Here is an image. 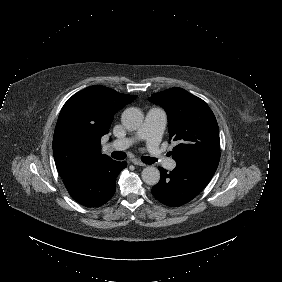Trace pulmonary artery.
I'll return each instance as SVG.
<instances>
[{
    "label": "pulmonary artery",
    "instance_id": "obj_1",
    "mask_svg": "<svg viewBox=\"0 0 282 282\" xmlns=\"http://www.w3.org/2000/svg\"><path fill=\"white\" fill-rule=\"evenodd\" d=\"M166 121L167 118L164 110L152 108L147 112L145 120L136 131L134 138L116 140L112 145L120 149H125L131 146L134 141L144 140L149 157L156 160L159 167L166 168L169 166L172 169L175 166V162H171L170 156L164 153L160 144V137L165 129Z\"/></svg>",
    "mask_w": 282,
    "mask_h": 282
}]
</instances>
